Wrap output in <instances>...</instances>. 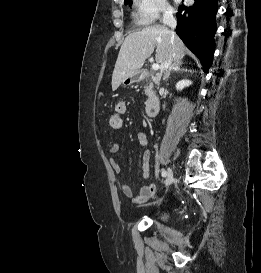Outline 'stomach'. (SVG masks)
<instances>
[{
	"label": "stomach",
	"mask_w": 261,
	"mask_h": 273,
	"mask_svg": "<svg viewBox=\"0 0 261 273\" xmlns=\"http://www.w3.org/2000/svg\"><path fill=\"white\" fill-rule=\"evenodd\" d=\"M141 79V76H140V73H138L137 75L133 76V77H130V78H126L122 83L123 84H131V83H134V82H137Z\"/></svg>",
	"instance_id": "obj_1"
}]
</instances>
